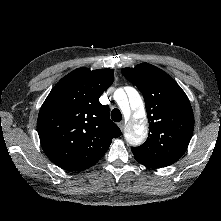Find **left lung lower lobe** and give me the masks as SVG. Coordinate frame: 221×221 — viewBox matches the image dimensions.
<instances>
[{"mask_svg": "<svg viewBox=\"0 0 221 221\" xmlns=\"http://www.w3.org/2000/svg\"><path fill=\"white\" fill-rule=\"evenodd\" d=\"M139 162V161H138ZM147 167H150V168H161L160 166H157V165H154V164H148V163H143V162H139Z\"/></svg>", "mask_w": 221, "mask_h": 221, "instance_id": "0a47b994", "label": "left lung lower lobe"}]
</instances>
